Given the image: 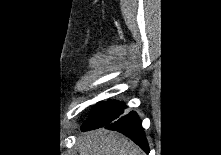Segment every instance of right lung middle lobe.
<instances>
[{"label": "right lung middle lobe", "instance_id": "right-lung-middle-lobe-1", "mask_svg": "<svg viewBox=\"0 0 221 155\" xmlns=\"http://www.w3.org/2000/svg\"><path fill=\"white\" fill-rule=\"evenodd\" d=\"M99 105H100V103L96 104V105L93 107V109H92V111L90 112V114H93V113L96 111V109L99 107Z\"/></svg>", "mask_w": 221, "mask_h": 155}]
</instances>
